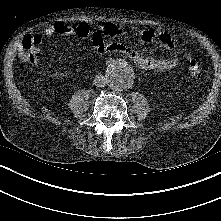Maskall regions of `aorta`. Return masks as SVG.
<instances>
[{
	"instance_id": "aorta-1",
	"label": "aorta",
	"mask_w": 221,
	"mask_h": 221,
	"mask_svg": "<svg viewBox=\"0 0 221 221\" xmlns=\"http://www.w3.org/2000/svg\"><path fill=\"white\" fill-rule=\"evenodd\" d=\"M106 79L111 89L121 91L131 87L134 73L127 62L118 60L107 66Z\"/></svg>"
}]
</instances>
